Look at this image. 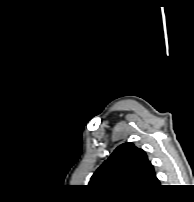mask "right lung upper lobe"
<instances>
[{
	"label": "right lung upper lobe",
	"instance_id": "cb5924a9",
	"mask_svg": "<svg viewBox=\"0 0 194 202\" xmlns=\"http://www.w3.org/2000/svg\"><path fill=\"white\" fill-rule=\"evenodd\" d=\"M89 185L110 195H142L160 183L146 153L124 143L96 170Z\"/></svg>",
	"mask_w": 194,
	"mask_h": 202
}]
</instances>
